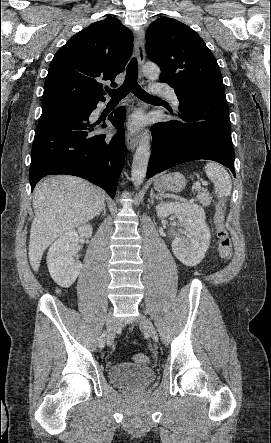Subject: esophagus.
I'll return each instance as SVG.
<instances>
[{"label":"esophagus","mask_w":271,"mask_h":443,"mask_svg":"<svg viewBox=\"0 0 271 443\" xmlns=\"http://www.w3.org/2000/svg\"><path fill=\"white\" fill-rule=\"evenodd\" d=\"M134 48H135V55L138 60V65L140 68L139 71V80L141 84H144V76L141 73V67L143 66L145 62V33L143 29H138L137 31H134ZM139 132L140 127H136V129L128 128L126 132V144L127 148L130 151H133L138 142H139Z\"/></svg>","instance_id":"34e87169"}]
</instances>
